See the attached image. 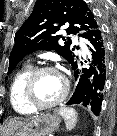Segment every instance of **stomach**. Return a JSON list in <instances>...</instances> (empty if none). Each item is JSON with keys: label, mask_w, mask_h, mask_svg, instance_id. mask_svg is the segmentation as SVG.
I'll return each instance as SVG.
<instances>
[{"label": "stomach", "mask_w": 117, "mask_h": 136, "mask_svg": "<svg viewBox=\"0 0 117 136\" xmlns=\"http://www.w3.org/2000/svg\"><path fill=\"white\" fill-rule=\"evenodd\" d=\"M60 121L56 114H40L11 136H48L58 127Z\"/></svg>", "instance_id": "stomach-1"}]
</instances>
